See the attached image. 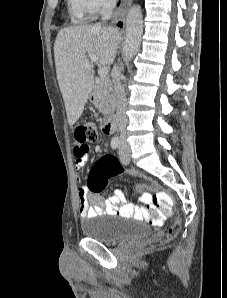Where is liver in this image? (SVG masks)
Instances as JSON below:
<instances>
[{"instance_id":"6515ba94","label":"liver","mask_w":227,"mask_h":298,"mask_svg":"<svg viewBox=\"0 0 227 298\" xmlns=\"http://www.w3.org/2000/svg\"><path fill=\"white\" fill-rule=\"evenodd\" d=\"M120 40L118 29L97 24L72 26L58 32L54 43L56 74L70 126L80 118L94 87L93 63L87 53L96 55L102 67L110 66Z\"/></svg>"}]
</instances>
